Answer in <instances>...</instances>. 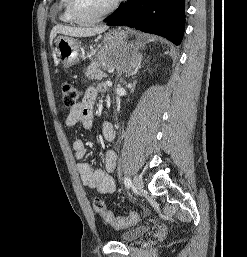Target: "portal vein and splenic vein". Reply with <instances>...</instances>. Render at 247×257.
I'll return each mask as SVG.
<instances>
[{
  "instance_id": "portal-vein-and-splenic-vein-1",
  "label": "portal vein and splenic vein",
  "mask_w": 247,
  "mask_h": 257,
  "mask_svg": "<svg viewBox=\"0 0 247 257\" xmlns=\"http://www.w3.org/2000/svg\"><path fill=\"white\" fill-rule=\"evenodd\" d=\"M113 71V69L109 70V73H111Z\"/></svg>"
}]
</instances>
